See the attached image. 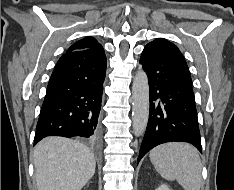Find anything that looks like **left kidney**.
Wrapping results in <instances>:
<instances>
[{
  "label": "left kidney",
  "mask_w": 234,
  "mask_h": 190,
  "mask_svg": "<svg viewBox=\"0 0 234 190\" xmlns=\"http://www.w3.org/2000/svg\"><path fill=\"white\" fill-rule=\"evenodd\" d=\"M156 190H172L167 185L161 184Z\"/></svg>",
  "instance_id": "5707ae66"
}]
</instances>
